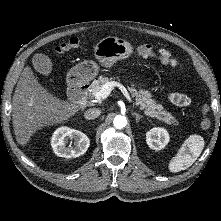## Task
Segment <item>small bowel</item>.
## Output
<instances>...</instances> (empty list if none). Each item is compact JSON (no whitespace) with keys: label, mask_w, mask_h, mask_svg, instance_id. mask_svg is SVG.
Returning <instances> with one entry per match:
<instances>
[{"label":"small bowel","mask_w":221,"mask_h":221,"mask_svg":"<svg viewBox=\"0 0 221 221\" xmlns=\"http://www.w3.org/2000/svg\"><path fill=\"white\" fill-rule=\"evenodd\" d=\"M173 65H175V62ZM168 99L173 105L178 107H185L191 103V99L187 95L177 92L168 94Z\"/></svg>","instance_id":"obj_1"}]
</instances>
